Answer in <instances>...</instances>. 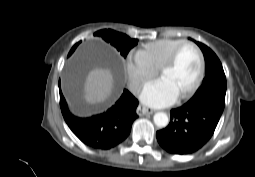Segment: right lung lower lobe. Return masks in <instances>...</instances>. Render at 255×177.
Here are the masks:
<instances>
[{
	"instance_id": "98d812e1",
	"label": "right lung lower lobe",
	"mask_w": 255,
	"mask_h": 177,
	"mask_svg": "<svg viewBox=\"0 0 255 177\" xmlns=\"http://www.w3.org/2000/svg\"><path fill=\"white\" fill-rule=\"evenodd\" d=\"M137 105V99L124 90L120 99L105 113L80 118L69 111L60 88V107L67 125L84 144L94 149H111L128 137L132 123L138 117Z\"/></svg>"
}]
</instances>
